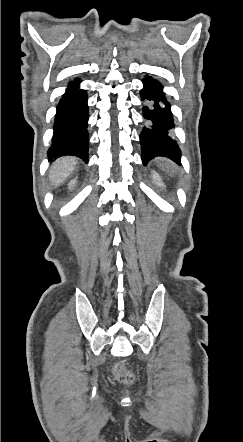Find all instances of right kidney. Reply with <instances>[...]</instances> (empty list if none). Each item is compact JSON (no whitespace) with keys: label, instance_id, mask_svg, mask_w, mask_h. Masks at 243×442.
Masks as SVG:
<instances>
[{"label":"right kidney","instance_id":"1","mask_svg":"<svg viewBox=\"0 0 243 442\" xmlns=\"http://www.w3.org/2000/svg\"><path fill=\"white\" fill-rule=\"evenodd\" d=\"M76 185V179H73L69 182L68 188L71 190Z\"/></svg>","mask_w":243,"mask_h":442}]
</instances>
